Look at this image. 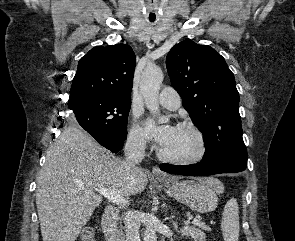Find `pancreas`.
<instances>
[{
  "label": "pancreas",
  "mask_w": 295,
  "mask_h": 241,
  "mask_svg": "<svg viewBox=\"0 0 295 241\" xmlns=\"http://www.w3.org/2000/svg\"><path fill=\"white\" fill-rule=\"evenodd\" d=\"M200 229L205 230V231H209L210 227L207 226L206 224L202 223L201 226H199Z\"/></svg>",
  "instance_id": "pancreas-1"
}]
</instances>
